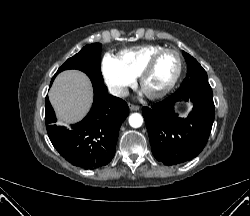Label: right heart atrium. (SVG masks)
Here are the masks:
<instances>
[{
  "instance_id": "right-heart-atrium-1",
  "label": "right heart atrium",
  "mask_w": 250,
  "mask_h": 216,
  "mask_svg": "<svg viewBox=\"0 0 250 216\" xmlns=\"http://www.w3.org/2000/svg\"><path fill=\"white\" fill-rule=\"evenodd\" d=\"M101 71L110 92L117 97L125 96L128 89L135 84V77L121 66L117 58L109 54L102 60Z\"/></svg>"
}]
</instances>
